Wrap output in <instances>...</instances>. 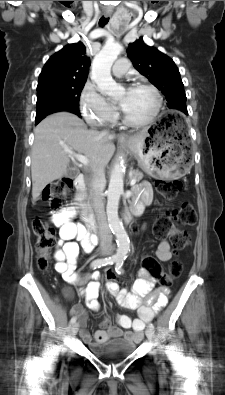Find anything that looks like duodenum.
<instances>
[{"label":"duodenum","mask_w":225,"mask_h":395,"mask_svg":"<svg viewBox=\"0 0 225 395\" xmlns=\"http://www.w3.org/2000/svg\"><path fill=\"white\" fill-rule=\"evenodd\" d=\"M75 186L77 190L76 200L81 204L83 200V193L85 189V179L82 175L77 176L75 180ZM135 213H139L134 210ZM84 220L91 232H95L97 230V224L94 217L88 213L86 210H83ZM130 217L127 215L126 220L129 221Z\"/></svg>","instance_id":"obj_1"}]
</instances>
